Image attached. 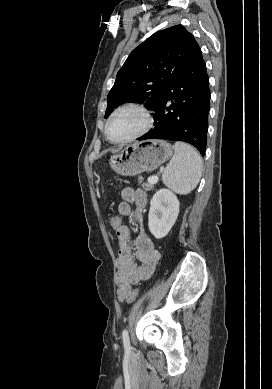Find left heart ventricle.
Instances as JSON below:
<instances>
[{"label":"left heart ventricle","instance_id":"b2bd125f","mask_svg":"<svg viewBox=\"0 0 272 389\" xmlns=\"http://www.w3.org/2000/svg\"><path fill=\"white\" fill-rule=\"evenodd\" d=\"M143 125L142 115L135 110H124L118 113L109 125L110 137L120 140L134 134Z\"/></svg>","mask_w":272,"mask_h":389}]
</instances>
